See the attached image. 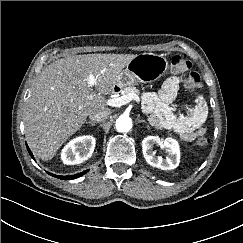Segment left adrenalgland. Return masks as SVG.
Listing matches in <instances>:
<instances>
[{"label":"left adrenal gland","mask_w":243,"mask_h":243,"mask_svg":"<svg viewBox=\"0 0 243 243\" xmlns=\"http://www.w3.org/2000/svg\"><path fill=\"white\" fill-rule=\"evenodd\" d=\"M137 122H138V123H146L145 120H142V119H140L139 117L137 118Z\"/></svg>","instance_id":"1"}]
</instances>
